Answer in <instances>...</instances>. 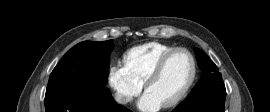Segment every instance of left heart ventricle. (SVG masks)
I'll use <instances>...</instances> for the list:
<instances>
[{"instance_id":"obj_1","label":"left heart ventricle","mask_w":270,"mask_h":112,"mask_svg":"<svg viewBox=\"0 0 270 112\" xmlns=\"http://www.w3.org/2000/svg\"><path fill=\"white\" fill-rule=\"evenodd\" d=\"M191 71L189 56L184 52H178L168 60L161 75L149 85L146 92L164 105L184 89Z\"/></svg>"}]
</instances>
